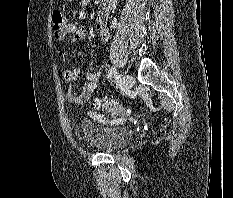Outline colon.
<instances>
[{
	"instance_id": "colon-1",
	"label": "colon",
	"mask_w": 233,
	"mask_h": 198,
	"mask_svg": "<svg viewBox=\"0 0 233 198\" xmlns=\"http://www.w3.org/2000/svg\"><path fill=\"white\" fill-rule=\"evenodd\" d=\"M52 22L54 32H60L66 25L65 17L59 10L53 11ZM95 107L114 117H122L128 112V109L122 103L109 97L98 99Z\"/></svg>"
}]
</instances>
